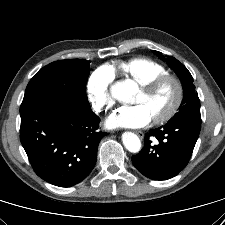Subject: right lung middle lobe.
I'll list each match as a JSON object with an SVG mask.
<instances>
[{
	"label": "right lung middle lobe",
	"mask_w": 225,
	"mask_h": 225,
	"mask_svg": "<svg viewBox=\"0 0 225 225\" xmlns=\"http://www.w3.org/2000/svg\"><path fill=\"white\" fill-rule=\"evenodd\" d=\"M90 61L67 59L48 64L27 85L23 101L49 99L69 102L91 110L85 94Z\"/></svg>",
	"instance_id": "right-lung-middle-lobe-1"
}]
</instances>
